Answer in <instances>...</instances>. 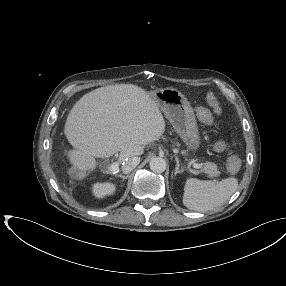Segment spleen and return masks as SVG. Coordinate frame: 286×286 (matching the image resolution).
I'll use <instances>...</instances> for the list:
<instances>
[{
  "mask_svg": "<svg viewBox=\"0 0 286 286\" xmlns=\"http://www.w3.org/2000/svg\"><path fill=\"white\" fill-rule=\"evenodd\" d=\"M237 187L238 180L234 177L220 182L189 178L184 186L183 204L190 210L210 211L225 204Z\"/></svg>",
  "mask_w": 286,
  "mask_h": 286,
  "instance_id": "spleen-1",
  "label": "spleen"
}]
</instances>
